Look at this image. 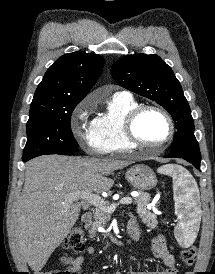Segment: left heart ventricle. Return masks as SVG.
Here are the masks:
<instances>
[{
	"mask_svg": "<svg viewBox=\"0 0 215 274\" xmlns=\"http://www.w3.org/2000/svg\"><path fill=\"white\" fill-rule=\"evenodd\" d=\"M136 132L146 143L156 144L169 134V125L165 117L157 111L148 110L137 120Z\"/></svg>",
	"mask_w": 215,
	"mask_h": 274,
	"instance_id": "left-heart-ventricle-1",
	"label": "left heart ventricle"
}]
</instances>
